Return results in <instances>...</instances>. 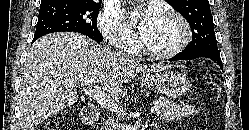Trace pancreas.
<instances>
[{"instance_id": "pancreas-1", "label": "pancreas", "mask_w": 249, "mask_h": 130, "mask_svg": "<svg viewBox=\"0 0 249 130\" xmlns=\"http://www.w3.org/2000/svg\"><path fill=\"white\" fill-rule=\"evenodd\" d=\"M159 112L158 115L165 120L182 119L195 112L193 106H188L182 102L175 103L169 99L160 97L158 100Z\"/></svg>"}]
</instances>
